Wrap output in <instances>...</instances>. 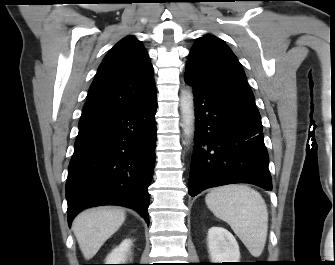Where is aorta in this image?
<instances>
[{"mask_svg": "<svg viewBox=\"0 0 335 265\" xmlns=\"http://www.w3.org/2000/svg\"><path fill=\"white\" fill-rule=\"evenodd\" d=\"M180 110L182 115L184 133L190 138L194 130V101L190 90H184L181 93Z\"/></svg>", "mask_w": 335, "mask_h": 265, "instance_id": "1", "label": "aorta"}]
</instances>
